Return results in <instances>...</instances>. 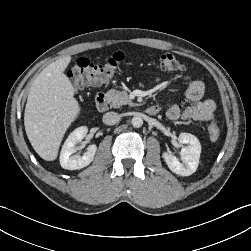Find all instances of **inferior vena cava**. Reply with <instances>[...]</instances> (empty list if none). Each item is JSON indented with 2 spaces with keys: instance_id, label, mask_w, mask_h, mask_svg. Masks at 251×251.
I'll return each instance as SVG.
<instances>
[{
  "instance_id": "602c4592",
  "label": "inferior vena cava",
  "mask_w": 251,
  "mask_h": 251,
  "mask_svg": "<svg viewBox=\"0 0 251 251\" xmlns=\"http://www.w3.org/2000/svg\"><path fill=\"white\" fill-rule=\"evenodd\" d=\"M120 115L116 112H107L103 115V123L106 125H114L119 122Z\"/></svg>"
}]
</instances>
